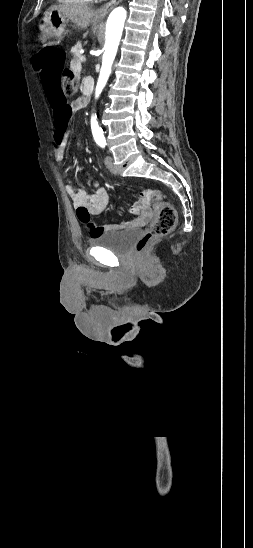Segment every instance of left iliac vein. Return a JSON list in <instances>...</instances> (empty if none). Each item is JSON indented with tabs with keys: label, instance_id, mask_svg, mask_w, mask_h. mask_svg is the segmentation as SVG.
<instances>
[{
	"label": "left iliac vein",
	"instance_id": "1",
	"mask_svg": "<svg viewBox=\"0 0 253 548\" xmlns=\"http://www.w3.org/2000/svg\"><path fill=\"white\" fill-rule=\"evenodd\" d=\"M105 165L106 167L113 173L116 172V168H115V165L113 163V158L112 156H106L105 158Z\"/></svg>",
	"mask_w": 253,
	"mask_h": 548
}]
</instances>
